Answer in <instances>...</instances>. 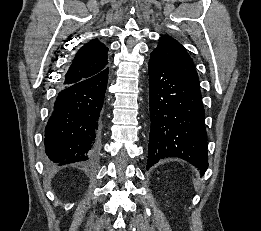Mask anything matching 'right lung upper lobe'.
<instances>
[{
    "mask_svg": "<svg viewBox=\"0 0 261 231\" xmlns=\"http://www.w3.org/2000/svg\"><path fill=\"white\" fill-rule=\"evenodd\" d=\"M107 52L108 48L97 38L84 44L75 54L63 84L69 85L100 72L108 63Z\"/></svg>",
    "mask_w": 261,
    "mask_h": 231,
    "instance_id": "1",
    "label": "right lung upper lobe"
}]
</instances>
